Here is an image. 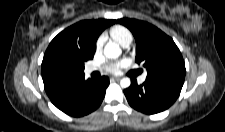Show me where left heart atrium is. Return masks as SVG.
Listing matches in <instances>:
<instances>
[{
  "instance_id": "obj_1",
  "label": "left heart atrium",
  "mask_w": 225,
  "mask_h": 132,
  "mask_svg": "<svg viewBox=\"0 0 225 132\" xmlns=\"http://www.w3.org/2000/svg\"><path fill=\"white\" fill-rule=\"evenodd\" d=\"M126 64L125 60L110 62L106 65V70L111 73H117L120 68H122Z\"/></svg>"
}]
</instances>
